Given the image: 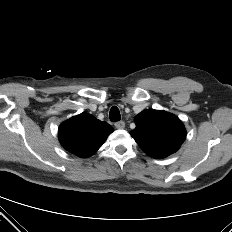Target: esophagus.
Wrapping results in <instances>:
<instances>
[{
	"instance_id": "esophagus-1",
	"label": "esophagus",
	"mask_w": 232,
	"mask_h": 232,
	"mask_svg": "<svg viewBox=\"0 0 232 232\" xmlns=\"http://www.w3.org/2000/svg\"><path fill=\"white\" fill-rule=\"evenodd\" d=\"M115 127L117 129H123L125 127V122L124 121H118L115 123Z\"/></svg>"
}]
</instances>
